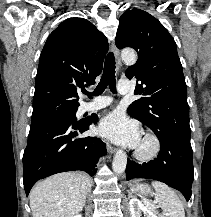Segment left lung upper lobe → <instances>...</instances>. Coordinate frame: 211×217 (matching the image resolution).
I'll return each mask as SVG.
<instances>
[{
    "label": "left lung upper lobe",
    "instance_id": "left-lung-upper-lobe-1",
    "mask_svg": "<svg viewBox=\"0 0 211 217\" xmlns=\"http://www.w3.org/2000/svg\"><path fill=\"white\" fill-rule=\"evenodd\" d=\"M116 46L131 47L138 53L137 62L125 75L141 81L134 94L143 97L132 102L128 114L156 135L174 133L190 139L183 69L176 43L166 28L143 10H126L120 17Z\"/></svg>",
    "mask_w": 211,
    "mask_h": 217
}]
</instances>
